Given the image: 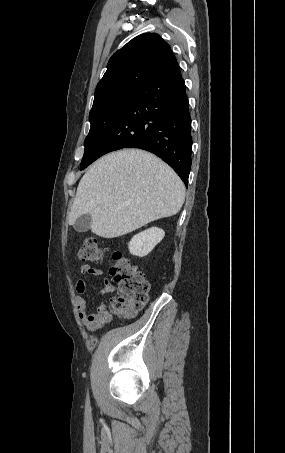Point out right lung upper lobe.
Listing matches in <instances>:
<instances>
[{
    "label": "right lung upper lobe",
    "mask_w": 285,
    "mask_h": 453,
    "mask_svg": "<svg viewBox=\"0 0 285 453\" xmlns=\"http://www.w3.org/2000/svg\"><path fill=\"white\" fill-rule=\"evenodd\" d=\"M177 64L170 46L158 34L135 37L110 58L107 71L97 84L93 107L138 91L152 77Z\"/></svg>",
    "instance_id": "right-lung-upper-lobe-1"
}]
</instances>
